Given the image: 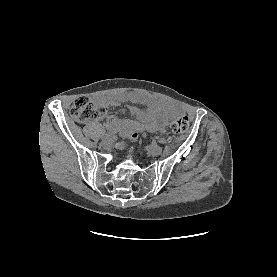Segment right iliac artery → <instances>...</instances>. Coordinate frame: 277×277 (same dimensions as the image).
Masks as SVG:
<instances>
[{
  "mask_svg": "<svg viewBox=\"0 0 277 277\" xmlns=\"http://www.w3.org/2000/svg\"><path fill=\"white\" fill-rule=\"evenodd\" d=\"M116 132H117L116 129H114V130H109L108 132H106V133L103 135V139H106V138L111 137V136L114 135Z\"/></svg>",
  "mask_w": 277,
  "mask_h": 277,
  "instance_id": "82829eb1",
  "label": "right iliac artery"
}]
</instances>
